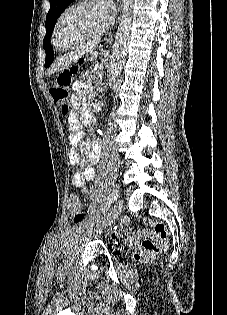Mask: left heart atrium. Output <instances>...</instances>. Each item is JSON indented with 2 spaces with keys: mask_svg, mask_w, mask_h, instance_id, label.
Segmentation results:
<instances>
[{
  "mask_svg": "<svg viewBox=\"0 0 227 315\" xmlns=\"http://www.w3.org/2000/svg\"><path fill=\"white\" fill-rule=\"evenodd\" d=\"M99 7L102 9L105 19L109 18V11L112 9V3L110 0H98Z\"/></svg>",
  "mask_w": 227,
  "mask_h": 315,
  "instance_id": "1",
  "label": "left heart atrium"
}]
</instances>
